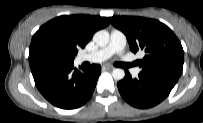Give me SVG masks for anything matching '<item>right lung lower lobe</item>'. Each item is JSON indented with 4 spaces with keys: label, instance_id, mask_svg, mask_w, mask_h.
Here are the masks:
<instances>
[{
    "label": "right lung lower lobe",
    "instance_id": "right-lung-lower-lobe-1",
    "mask_svg": "<svg viewBox=\"0 0 203 123\" xmlns=\"http://www.w3.org/2000/svg\"><path fill=\"white\" fill-rule=\"evenodd\" d=\"M36 87L54 106L75 109L86 103L92 96L100 65H92L82 71L68 65H39L31 68Z\"/></svg>",
    "mask_w": 203,
    "mask_h": 123
}]
</instances>
